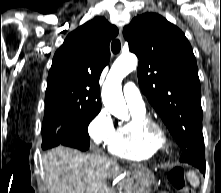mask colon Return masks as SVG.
<instances>
[{"mask_svg":"<svg viewBox=\"0 0 221 193\" xmlns=\"http://www.w3.org/2000/svg\"><path fill=\"white\" fill-rule=\"evenodd\" d=\"M168 182L170 186L178 192L195 193L194 191L187 189L184 171L178 166L173 167L170 170L168 174Z\"/></svg>","mask_w":221,"mask_h":193,"instance_id":"obj_1","label":"colon"}]
</instances>
